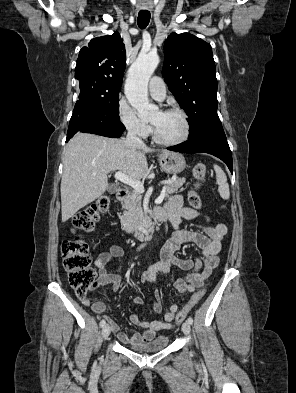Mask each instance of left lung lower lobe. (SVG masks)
Instances as JSON below:
<instances>
[{"label": "left lung lower lobe", "instance_id": "left-lung-lower-lobe-1", "mask_svg": "<svg viewBox=\"0 0 296 393\" xmlns=\"http://www.w3.org/2000/svg\"><path fill=\"white\" fill-rule=\"evenodd\" d=\"M167 149L181 153L212 154L225 162L233 173L232 154L222 125L208 128L186 142Z\"/></svg>", "mask_w": 296, "mask_h": 393}]
</instances>
